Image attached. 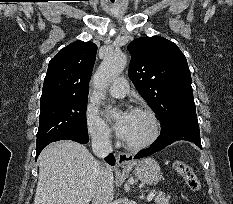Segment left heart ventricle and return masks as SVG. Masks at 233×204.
<instances>
[{
    "mask_svg": "<svg viewBox=\"0 0 233 204\" xmlns=\"http://www.w3.org/2000/svg\"><path fill=\"white\" fill-rule=\"evenodd\" d=\"M151 133L149 118L140 112H129L124 140L130 143L144 141Z\"/></svg>",
    "mask_w": 233,
    "mask_h": 204,
    "instance_id": "obj_1",
    "label": "left heart ventricle"
}]
</instances>
